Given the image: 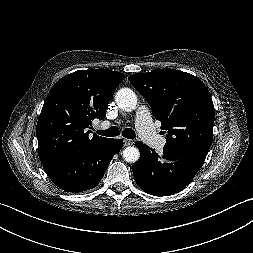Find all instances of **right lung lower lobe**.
Returning a JSON list of instances; mask_svg holds the SVG:
<instances>
[{
  "mask_svg": "<svg viewBox=\"0 0 253 253\" xmlns=\"http://www.w3.org/2000/svg\"><path fill=\"white\" fill-rule=\"evenodd\" d=\"M122 146V139L109 138L84 151L48 159L43 165L56 186L67 192H82L98 185Z\"/></svg>",
  "mask_w": 253,
  "mask_h": 253,
  "instance_id": "right-lung-lower-lobe-1",
  "label": "right lung lower lobe"
}]
</instances>
